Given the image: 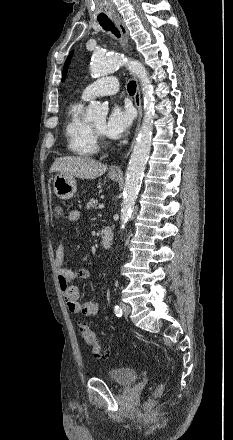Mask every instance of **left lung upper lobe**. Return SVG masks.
Here are the masks:
<instances>
[{"instance_id":"left-lung-upper-lobe-1","label":"left lung upper lobe","mask_w":233,"mask_h":440,"mask_svg":"<svg viewBox=\"0 0 233 440\" xmlns=\"http://www.w3.org/2000/svg\"><path fill=\"white\" fill-rule=\"evenodd\" d=\"M72 53L73 52L70 53V55L68 56V58H67V60H66V62L64 64L62 81L65 79V77L67 75V70H68V66H69L70 60H71Z\"/></svg>"}]
</instances>
